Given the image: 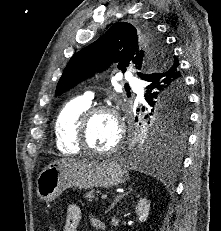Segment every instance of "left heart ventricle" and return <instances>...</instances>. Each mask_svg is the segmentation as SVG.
Instances as JSON below:
<instances>
[{"mask_svg": "<svg viewBox=\"0 0 221 231\" xmlns=\"http://www.w3.org/2000/svg\"><path fill=\"white\" fill-rule=\"evenodd\" d=\"M118 138V129L113 117L107 113L95 115L88 128V144L94 150L109 149Z\"/></svg>", "mask_w": 221, "mask_h": 231, "instance_id": "obj_1", "label": "left heart ventricle"}]
</instances>
